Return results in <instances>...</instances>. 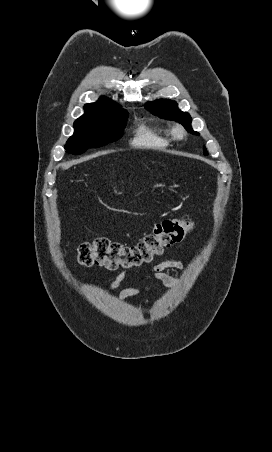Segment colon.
I'll return each mask as SVG.
<instances>
[{"label":"colon","mask_w":272,"mask_h":452,"mask_svg":"<svg viewBox=\"0 0 272 452\" xmlns=\"http://www.w3.org/2000/svg\"><path fill=\"white\" fill-rule=\"evenodd\" d=\"M194 223L178 219L158 222L153 231L134 245L96 239L80 245L77 263L82 267L103 266L108 269H133L151 264L156 256L180 242Z\"/></svg>","instance_id":"1"}]
</instances>
